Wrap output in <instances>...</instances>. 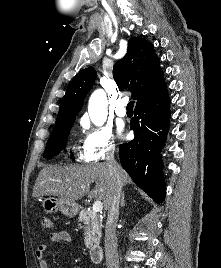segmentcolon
<instances>
[{"instance_id":"1","label":"colon","mask_w":221,"mask_h":268,"mask_svg":"<svg viewBox=\"0 0 221 268\" xmlns=\"http://www.w3.org/2000/svg\"><path fill=\"white\" fill-rule=\"evenodd\" d=\"M41 224L45 229H51L53 227V222L48 216L41 217Z\"/></svg>"}]
</instances>
